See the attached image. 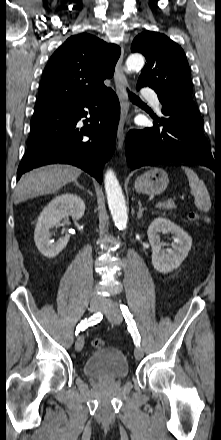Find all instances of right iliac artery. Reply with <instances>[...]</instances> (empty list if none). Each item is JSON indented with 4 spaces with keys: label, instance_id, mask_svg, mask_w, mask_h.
I'll return each mask as SVG.
<instances>
[{
    "label": "right iliac artery",
    "instance_id": "1",
    "mask_svg": "<svg viewBox=\"0 0 221 440\" xmlns=\"http://www.w3.org/2000/svg\"><path fill=\"white\" fill-rule=\"evenodd\" d=\"M103 315L101 312H97L96 314H93V316H91L88 319L82 320L80 324H78L76 331H75V335H78V333L80 331L85 330L88 326L90 325H94L98 322H100V320H102Z\"/></svg>",
    "mask_w": 221,
    "mask_h": 440
}]
</instances>
